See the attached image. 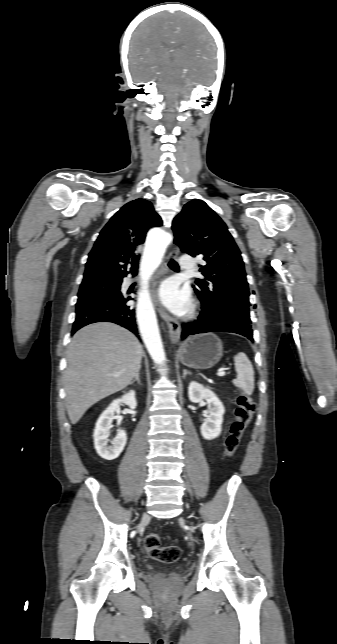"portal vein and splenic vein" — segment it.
I'll return each instance as SVG.
<instances>
[{
	"mask_svg": "<svg viewBox=\"0 0 337 644\" xmlns=\"http://www.w3.org/2000/svg\"><path fill=\"white\" fill-rule=\"evenodd\" d=\"M225 375H226V373H225L224 371H219V372L217 373V376H220V377H223V376H225Z\"/></svg>",
	"mask_w": 337,
	"mask_h": 644,
	"instance_id": "obj_1",
	"label": "portal vein and splenic vein"
}]
</instances>
